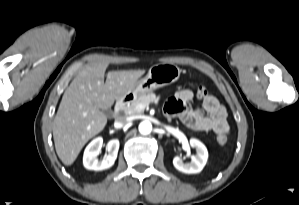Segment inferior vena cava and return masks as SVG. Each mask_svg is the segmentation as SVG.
I'll return each mask as SVG.
<instances>
[{
  "mask_svg": "<svg viewBox=\"0 0 299 205\" xmlns=\"http://www.w3.org/2000/svg\"><path fill=\"white\" fill-rule=\"evenodd\" d=\"M128 119L126 117H118L115 121V127L121 128L128 123Z\"/></svg>",
  "mask_w": 299,
  "mask_h": 205,
  "instance_id": "1",
  "label": "inferior vena cava"
}]
</instances>
